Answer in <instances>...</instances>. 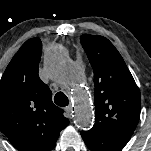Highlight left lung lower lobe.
<instances>
[{
	"label": "left lung lower lobe",
	"instance_id": "obj_1",
	"mask_svg": "<svg viewBox=\"0 0 151 151\" xmlns=\"http://www.w3.org/2000/svg\"><path fill=\"white\" fill-rule=\"evenodd\" d=\"M81 136L92 151H121L130 139L127 136L107 135L93 131H83Z\"/></svg>",
	"mask_w": 151,
	"mask_h": 151
}]
</instances>
